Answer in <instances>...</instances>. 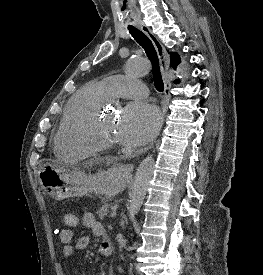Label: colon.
Listing matches in <instances>:
<instances>
[{
    "label": "colon",
    "instance_id": "obj_1",
    "mask_svg": "<svg viewBox=\"0 0 263 275\" xmlns=\"http://www.w3.org/2000/svg\"><path fill=\"white\" fill-rule=\"evenodd\" d=\"M64 224L67 227H75L78 224V217L74 213H66L63 217Z\"/></svg>",
    "mask_w": 263,
    "mask_h": 275
}]
</instances>
